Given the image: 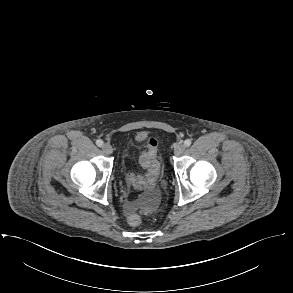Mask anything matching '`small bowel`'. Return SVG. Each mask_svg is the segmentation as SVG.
<instances>
[{
	"instance_id": "obj_1",
	"label": "small bowel",
	"mask_w": 293,
	"mask_h": 293,
	"mask_svg": "<svg viewBox=\"0 0 293 293\" xmlns=\"http://www.w3.org/2000/svg\"><path fill=\"white\" fill-rule=\"evenodd\" d=\"M139 139H142L144 140L145 138L144 137H139ZM132 178H135L134 176H132ZM139 179V178H137ZM129 182L130 184L135 187V188H143L145 187L143 185V183L141 181L139 182H133L129 179ZM136 207H137V203L135 200H132L128 197V195L125 196V200H124V210H125V213L129 216V215H132L135 213L136 211Z\"/></svg>"
}]
</instances>
